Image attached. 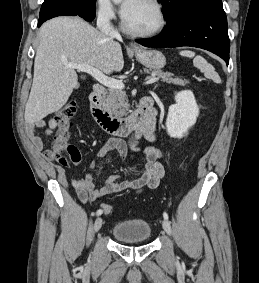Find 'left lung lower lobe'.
Wrapping results in <instances>:
<instances>
[{
  "label": "left lung lower lobe",
  "instance_id": "obj_1",
  "mask_svg": "<svg viewBox=\"0 0 259 283\" xmlns=\"http://www.w3.org/2000/svg\"><path fill=\"white\" fill-rule=\"evenodd\" d=\"M136 42L154 48L198 47L218 55L229 63L230 40L222 1L198 7L177 22L167 25L154 39H138Z\"/></svg>",
  "mask_w": 259,
  "mask_h": 283
}]
</instances>
